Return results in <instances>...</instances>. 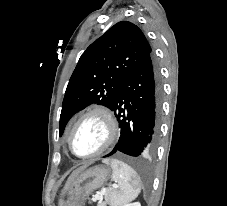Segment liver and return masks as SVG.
I'll use <instances>...</instances> for the list:
<instances>
[{
  "instance_id": "obj_1",
  "label": "liver",
  "mask_w": 227,
  "mask_h": 206,
  "mask_svg": "<svg viewBox=\"0 0 227 206\" xmlns=\"http://www.w3.org/2000/svg\"><path fill=\"white\" fill-rule=\"evenodd\" d=\"M88 165H84L82 167H80L79 169H77L76 171H74L70 177L68 178L66 184H65V187H64V190H68L71 185L73 184V182L75 181V179L79 176V174L84 171L86 168H87Z\"/></svg>"
}]
</instances>
